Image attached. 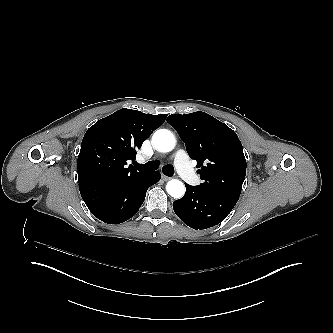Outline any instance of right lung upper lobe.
Instances as JSON below:
<instances>
[{
  "instance_id": "right-lung-upper-lobe-1",
  "label": "right lung upper lobe",
  "mask_w": 333,
  "mask_h": 333,
  "mask_svg": "<svg viewBox=\"0 0 333 333\" xmlns=\"http://www.w3.org/2000/svg\"><path fill=\"white\" fill-rule=\"evenodd\" d=\"M166 117V114L120 109L97 121L87 130L81 143L78 181H114L137 173L132 165L125 166L127 161L135 159V149L141 147Z\"/></svg>"
}]
</instances>
